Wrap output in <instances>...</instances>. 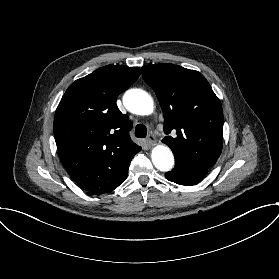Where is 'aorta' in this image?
Masks as SVG:
<instances>
[{
    "label": "aorta",
    "mask_w": 279,
    "mask_h": 279,
    "mask_svg": "<svg viewBox=\"0 0 279 279\" xmlns=\"http://www.w3.org/2000/svg\"><path fill=\"white\" fill-rule=\"evenodd\" d=\"M125 108L136 115H150L154 110L152 97L144 90L130 89L123 95ZM153 165L162 172L170 171L174 166V155L166 145H157L152 149Z\"/></svg>",
    "instance_id": "1"
}]
</instances>
